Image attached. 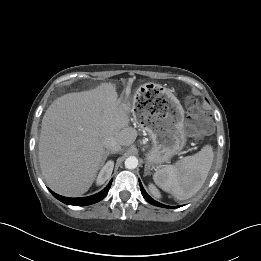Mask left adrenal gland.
<instances>
[{"label": "left adrenal gland", "mask_w": 261, "mask_h": 261, "mask_svg": "<svg viewBox=\"0 0 261 261\" xmlns=\"http://www.w3.org/2000/svg\"><path fill=\"white\" fill-rule=\"evenodd\" d=\"M144 174L147 176V175H150V170H149V167H148V165L146 164L145 165V169H144Z\"/></svg>", "instance_id": "1"}]
</instances>
